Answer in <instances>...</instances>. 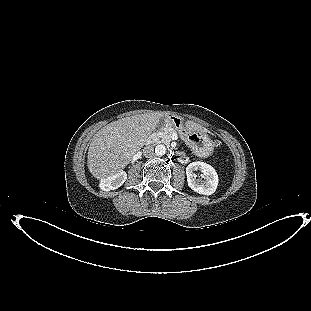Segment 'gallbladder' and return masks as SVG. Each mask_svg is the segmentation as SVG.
I'll return each instance as SVG.
<instances>
[{"instance_id": "bac80fb5", "label": "gallbladder", "mask_w": 311, "mask_h": 311, "mask_svg": "<svg viewBox=\"0 0 311 311\" xmlns=\"http://www.w3.org/2000/svg\"><path fill=\"white\" fill-rule=\"evenodd\" d=\"M165 123V118H161L159 123H158V127H161L163 124Z\"/></svg>"}]
</instances>
